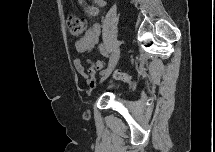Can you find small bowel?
Returning <instances> with one entry per match:
<instances>
[{"label": "small bowel", "instance_id": "c3829d8e", "mask_svg": "<svg viewBox=\"0 0 215 152\" xmlns=\"http://www.w3.org/2000/svg\"><path fill=\"white\" fill-rule=\"evenodd\" d=\"M78 4L92 17L98 15L99 8L106 5L105 0H93L89 2L87 0H78ZM102 32L100 24H93L85 35L76 41L75 47L78 53L84 55L90 52L98 43ZM74 67L78 73L84 76L86 85L89 87L95 86V80L92 75L86 72V68L80 59L74 61Z\"/></svg>", "mask_w": 215, "mask_h": 152}]
</instances>
